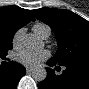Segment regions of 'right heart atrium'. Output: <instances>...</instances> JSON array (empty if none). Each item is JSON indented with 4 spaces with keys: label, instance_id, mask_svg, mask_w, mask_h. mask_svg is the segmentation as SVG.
Instances as JSON below:
<instances>
[{
    "label": "right heart atrium",
    "instance_id": "d8ad5b80",
    "mask_svg": "<svg viewBox=\"0 0 89 89\" xmlns=\"http://www.w3.org/2000/svg\"><path fill=\"white\" fill-rule=\"evenodd\" d=\"M20 38H21V32H17L13 38V44L14 45H18L20 42Z\"/></svg>",
    "mask_w": 89,
    "mask_h": 89
}]
</instances>
